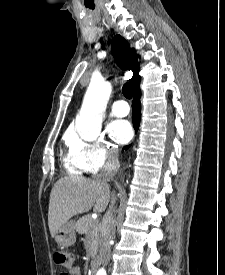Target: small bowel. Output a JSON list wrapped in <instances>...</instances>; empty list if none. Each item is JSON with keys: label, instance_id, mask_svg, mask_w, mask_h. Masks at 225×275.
<instances>
[{"label": "small bowel", "instance_id": "small-bowel-1", "mask_svg": "<svg viewBox=\"0 0 225 275\" xmlns=\"http://www.w3.org/2000/svg\"><path fill=\"white\" fill-rule=\"evenodd\" d=\"M80 268L77 265L72 266L66 272L67 275H80Z\"/></svg>", "mask_w": 225, "mask_h": 275}]
</instances>
